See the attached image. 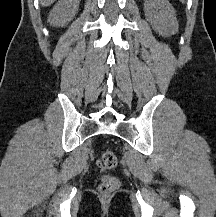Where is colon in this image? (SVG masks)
Segmentation results:
<instances>
[{"label":"colon","instance_id":"5ec220e1","mask_svg":"<svg viewBox=\"0 0 216 217\" xmlns=\"http://www.w3.org/2000/svg\"><path fill=\"white\" fill-rule=\"evenodd\" d=\"M118 160L114 151L106 149L102 151L97 159V166L101 171L114 169L117 166ZM120 186V181L116 176L104 175L98 191L102 197H108L113 194Z\"/></svg>","mask_w":216,"mask_h":217}]
</instances>
